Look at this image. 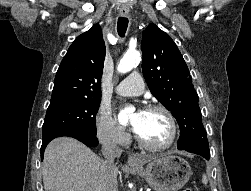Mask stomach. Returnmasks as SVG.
Segmentation results:
<instances>
[{"mask_svg":"<svg viewBox=\"0 0 251 191\" xmlns=\"http://www.w3.org/2000/svg\"><path fill=\"white\" fill-rule=\"evenodd\" d=\"M140 167H130L131 171H136L142 177H145L149 185L156 191H178L191 175V167L180 155H171V153H158L152 157V161L147 163L146 157L141 159ZM144 163H147L146 169H143Z\"/></svg>","mask_w":251,"mask_h":191,"instance_id":"1","label":"stomach"}]
</instances>
